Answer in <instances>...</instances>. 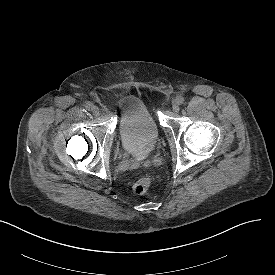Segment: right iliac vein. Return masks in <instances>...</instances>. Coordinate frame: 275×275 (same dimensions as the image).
Segmentation results:
<instances>
[{"label":"right iliac vein","mask_w":275,"mask_h":275,"mask_svg":"<svg viewBox=\"0 0 275 275\" xmlns=\"http://www.w3.org/2000/svg\"><path fill=\"white\" fill-rule=\"evenodd\" d=\"M92 113L94 115H98L99 114V108L95 105L92 106Z\"/></svg>","instance_id":"1"}]
</instances>
